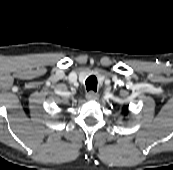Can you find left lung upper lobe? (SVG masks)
Listing matches in <instances>:
<instances>
[{"label":"left lung upper lobe","instance_id":"1","mask_svg":"<svg viewBox=\"0 0 173 170\" xmlns=\"http://www.w3.org/2000/svg\"><path fill=\"white\" fill-rule=\"evenodd\" d=\"M123 113H124L125 115H127V113H128V106H125V107L123 108Z\"/></svg>","mask_w":173,"mask_h":170}]
</instances>
